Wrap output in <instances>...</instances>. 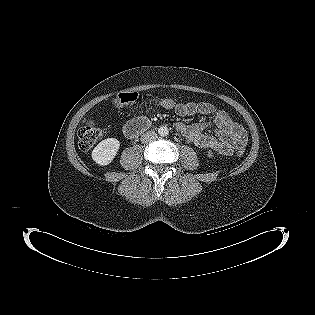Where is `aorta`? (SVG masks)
<instances>
[{
	"label": "aorta",
	"mask_w": 315,
	"mask_h": 315,
	"mask_svg": "<svg viewBox=\"0 0 315 315\" xmlns=\"http://www.w3.org/2000/svg\"><path fill=\"white\" fill-rule=\"evenodd\" d=\"M158 132H159V135H160V136H163V137H164V136H167V135H168L169 130H168L167 127L161 126V127L159 128Z\"/></svg>",
	"instance_id": "aorta-1"
}]
</instances>
